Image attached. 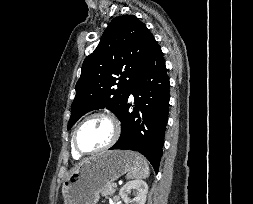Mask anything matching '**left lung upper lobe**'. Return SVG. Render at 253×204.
I'll return each instance as SVG.
<instances>
[{
  "label": "left lung upper lobe",
  "instance_id": "5c2ea615",
  "mask_svg": "<svg viewBox=\"0 0 253 204\" xmlns=\"http://www.w3.org/2000/svg\"><path fill=\"white\" fill-rule=\"evenodd\" d=\"M156 44L152 33L136 16L114 18L95 51L83 62L68 129L95 109L106 107L119 118L130 89Z\"/></svg>",
  "mask_w": 253,
  "mask_h": 204
}]
</instances>
